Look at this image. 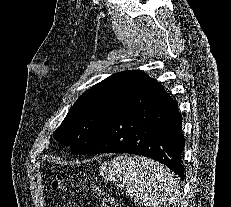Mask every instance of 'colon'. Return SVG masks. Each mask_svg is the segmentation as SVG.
Here are the masks:
<instances>
[{"label": "colon", "mask_w": 231, "mask_h": 207, "mask_svg": "<svg viewBox=\"0 0 231 207\" xmlns=\"http://www.w3.org/2000/svg\"><path fill=\"white\" fill-rule=\"evenodd\" d=\"M63 182L64 179L61 176H57L52 183L53 189L55 191L60 190L63 187ZM90 188L94 195L101 199L99 207H119L114 198L106 191H104L102 188L94 184H91Z\"/></svg>", "instance_id": "1"}]
</instances>
